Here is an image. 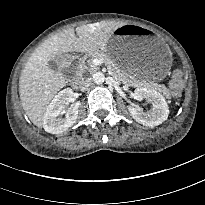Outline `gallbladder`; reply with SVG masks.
Returning <instances> with one entry per match:
<instances>
[{"mask_svg": "<svg viewBox=\"0 0 205 205\" xmlns=\"http://www.w3.org/2000/svg\"><path fill=\"white\" fill-rule=\"evenodd\" d=\"M68 57L67 54L56 55L54 59L50 60L48 65L49 67L58 72L62 71L65 76H70L71 70L70 67L67 65Z\"/></svg>", "mask_w": 205, "mask_h": 205, "instance_id": "bac80fb5", "label": "gallbladder"}]
</instances>
